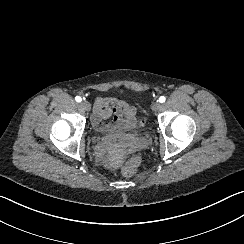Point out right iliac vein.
I'll list each match as a JSON object with an SVG mask.
<instances>
[{"label":"right iliac vein","mask_w":244,"mask_h":244,"mask_svg":"<svg viewBox=\"0 0 244 244\" xmlns=\"http://www.w3.org/2000/svg\"><path fill=\"white\" fill-rule=\"evenodd\" d=\"M80 107H81V109L86 110V111H89L91 109V105L87 101H82L80 103Z\"/></svg>","instance_id":"63e3f726"}]
</instances>
